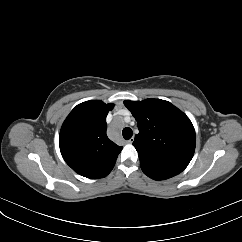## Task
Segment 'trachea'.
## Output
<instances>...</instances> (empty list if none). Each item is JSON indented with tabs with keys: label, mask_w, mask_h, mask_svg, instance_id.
Returning <instances> with one entry per match:
<instances>
[{
	"label": "trachea",
	"mask_w": 242,
	"mask_h": 242,
	"mask_svg": "<svg viewBox=\"0 0 242 242\" xmlns=\"http://www.w3.org/2000/svg\"><path fill=\"white\" fill-rule=\"evenodd\" d=\"M122 135H123L125 140H129L133 135V131H132L131 128L126 127V128L123 129Z\"/></svg>",
	"instance_id": "obj_1"
}]
</instances>
